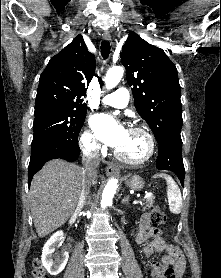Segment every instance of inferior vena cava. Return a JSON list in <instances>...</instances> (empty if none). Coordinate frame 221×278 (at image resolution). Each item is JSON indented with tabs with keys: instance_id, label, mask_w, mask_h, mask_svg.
<instances>
[{
	"instance_id": "obj_1",
	"label": "inferior vena cava",
	"mask_w": 221,
	"mask_h": 278,
	"mask_svg": "<svg viewBox=\"0 0 221 278\" xmlns=\"http://www.w3.org/2000/svg\"><path fill=\"white\" fill-rule=\"evenodd\" d=\"M99 156L98 150L85 152L83 154L82 163L85 181L79 196L77 211H80L86 205L87 196L90 192L91 180L97 176V168L100 162Z\"/></svg>"
}]
</instances>
